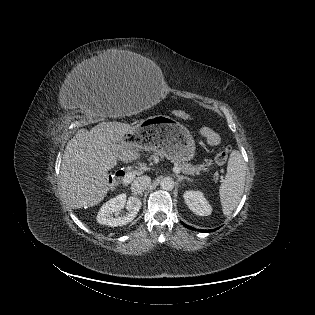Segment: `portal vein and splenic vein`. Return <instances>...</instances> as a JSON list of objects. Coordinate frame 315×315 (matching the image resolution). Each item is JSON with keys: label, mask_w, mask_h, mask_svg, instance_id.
Segmentation results:
<instances>
[{"label": "portal vein and splenic vein", "mask_w": 315, "mask_h": 315, "mask_svg": "<svg viewBox=\"0 0 315 315\" xmlns=\"http://www.w3.org/2000/svg\"><path fill=\"white\" fill-rule=\"evenodd\" d=\"M173 171H174L175 173H180V172H181L180 168L177 167V166H175V167L173 168ZM135 175H136L135 172H127V173L125 174L124 178H123V182H124V183H130V182L132 181V179L135 177Z\"/></svg>", "instance_id": "obj_1"}]
</instances>
